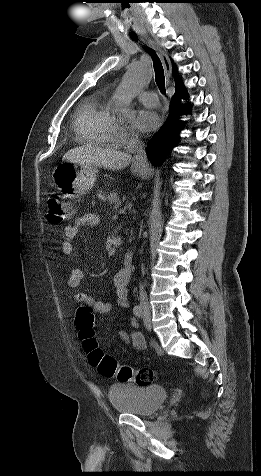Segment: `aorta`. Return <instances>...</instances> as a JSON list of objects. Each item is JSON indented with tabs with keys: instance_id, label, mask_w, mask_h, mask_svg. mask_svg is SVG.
Listing matches in <instances>:
<instances>
[{
	"instance_id": "762f6f07",
	"label": "aorta",
	"mask_w": 261,
	"mask_h": 476,
	"mask_svg": "<svg viewBox=\"0 0 261 476\" xmlns=\"http://www.w3.org/2000/svg\"><path fill=\"white\" fill-rule=\"evenodd\" d=\"M149 79V73L139 66H131L128 69L122 85L114 96L113 108L118 119L124 120L133 113L132 98L137 89Z\"/></svg>"
}]
</instances>
